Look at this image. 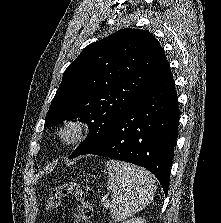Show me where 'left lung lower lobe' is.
<instances>
[{
	"label": "left lung lower lobe",
	"instance_id": "obj_1",
	"mask_svg": "<svg viewBox=\"0 0 221 223\" xmlns=\"http://www.w3.org/2000/svg\"><path fill=\"white\" fill-rule=\"evenodd\" d=\"M179 116L175 84L166 60L155 80L109 132L80 155H100L142 166L158 178L166 195Z\"/></svg>",
	"mask_w": 221,
	"mask_h": 223
}]
</instances>
